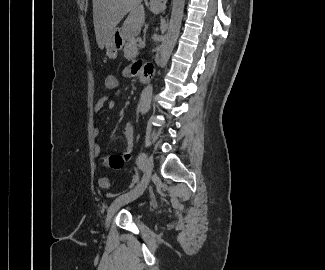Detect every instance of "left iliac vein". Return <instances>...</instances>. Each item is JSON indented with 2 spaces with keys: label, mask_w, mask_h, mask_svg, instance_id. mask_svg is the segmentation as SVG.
Listing matches in <instances>:
<instances>
[{
  "label": "left iliac vein",
  "mask_w": 325,
  "mask_h": 270,
  "mask_svg": "<svg viewBox=\"0 0 325 270\" xmlns=\"http://www.w3.org/2000/svg\"><path fill=\"white\" fill-rule=\"evenodd\" d=\"M153 158L150 156L145 159L144 161V175L141 180V182L130 192L122 194L121 196L117 197L113 203L110 205L107 216H106V227H109L110 221L114 214L118 211L119 208L124 206L125 204H128L129 202L134 201L139 196L143 194L145 189L147 188L152 171H153Z\"/></svg>",
  "instance_id": "obj_1"
}]
</instances>
